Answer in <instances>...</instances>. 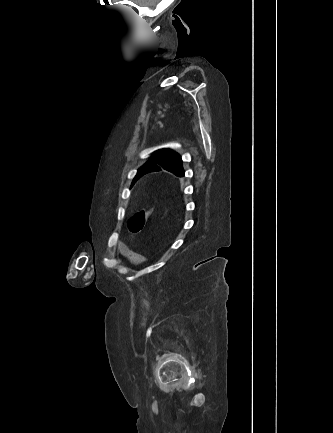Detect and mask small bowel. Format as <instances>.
<instances>
[{"mask_svg": "<svg viewBox=\"0 0 333 433\" xmlns=\"http://www.w3.org/2000/svg\"><path fill=\"white\" fill-rule=\"evenodd\" d=\"M124 252L126 253V256L130 258L132 261H134L135 263L139 264L145 261V257L139 253L131 252L127 249Z\"/></svg>", "mask_w": 333, "mask_h": 433, "instance_id": "1", "label": "small bowel"}]
</instances>
